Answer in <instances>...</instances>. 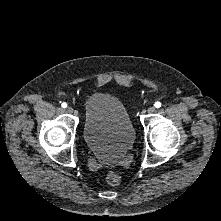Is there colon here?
Instances as JSON below:
<instances>
[{
	"mask_svg": "<svg viewBox=\"0 0 221 221\" xmlns=\"http://www.w3.org/2000/svg\"><path fill=\"white\" fill-rule=\"evenodd\" d=\"M106 182L110 185H118L121 181V177L116 170H109L105 175Z\"/></svg>",
	"mask_w": 221,
	"mask_h": 221,
	"instance_id": "1",
	"label": "colon"
}]
</instances>
